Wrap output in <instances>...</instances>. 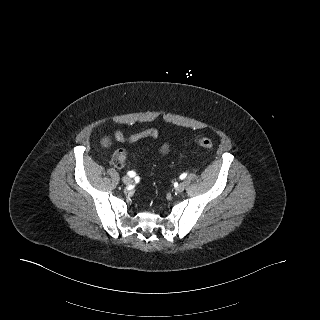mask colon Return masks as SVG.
I'll return each mask as SVG.
<instances>
[{
	"label": "colon",
	"instance_id": "1",
	"mask_svg": "<svg viewBox=\"0 0 320 320\" xmlns=\"http://www.w3.org/2000/svg\"><path fill=\"white\" fill-rule=\"evenodd\" d=\"M103 143L108 145L110 143L107 137L103 138ZM196 144L202 147L205 150H212L214 147V143L210 138L207 137H198L196 138ZM128 153L125 149L117 150L112 158V162L116 167H122L127 160Z\"/></svg>",
	"mask_w": 320,
	"mask_h": 320
}]
</instances>
